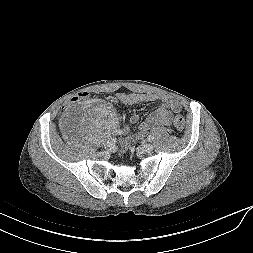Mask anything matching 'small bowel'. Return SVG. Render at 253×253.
<instances>
[{
	"label": "small bowel",
	"instance_id": "c3829d8e",
	"mask_svg": "<svg viewBox=\"0 0 253 253\" xmlns=\"http://www.w3.org/2000/svg\"><path fill=\"white\" fill-rule=\"evenodd\" d=\"M118 99L127 105H134L139 103H150L159 99L154 94H137V93H121L118 95ZM161 105L139 125L138 131L135 134L136 139H141L146 132L158 126H168L171 122L172 114L178 113L181 110L179 101L170 97H162ZM139 121L137 115H132L129 119L130 124H136ZM117 127V126H114ZM123 135L129 132V124H126L123 128ZM122 150L127 147V140L122 139L121 142Z\"/></svg>",
	"mask_w": 253,
	"mask_h": 253
}]
</instances>
